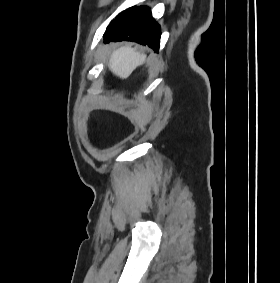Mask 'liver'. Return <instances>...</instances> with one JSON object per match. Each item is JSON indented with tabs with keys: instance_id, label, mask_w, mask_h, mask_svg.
I'll list each match as a JSON object with an SVG mask.
<instances>
[{
	"instance_id": "6515ba94",
	"label": "liver",
	"mask_w": 280,
	"mask_h": 283,
	"mask_svg": "<svg viewBox=\"0 0 280 283\" xmlns=\"http://www.w3.org/2000/svg\"><path fill=\"white\" fill-rule=\"evenodd\" d=\"M145 57V55L140 54L132 47L123 46L112 52L109 60V69L114 75L125 79L145 60Z\"/></svg>"
}]
</instances>
